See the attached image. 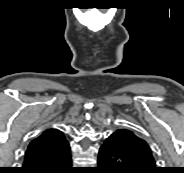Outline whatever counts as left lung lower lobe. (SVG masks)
Instances as JSON below:
<instances>
[{
	"instance_id": "0a47b994",
	"label": "left lung lower lobe",
	"mask_w": 184,
	"mask_h": 173,
	"mask_svg": "<svg viewBox=\"0 0 184 173\" xmlns=\"http://www.w3.org/2000/svg\"><path fill=\"white\" fill-rule=\"evenodd\" d=\"M122 133H112L102 144L98 156L99 173H153L140 167L123 147ZM158 173V172H157Z\"/></svg>"
}]
</instances>
